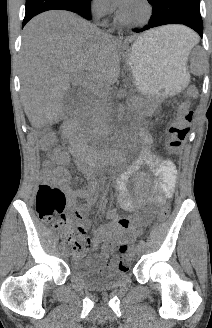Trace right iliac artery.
Here are the masks:
<instances>
[{
    "label": "right iliac artery",
    "mask_w": 212,
    "mask_h": 328,
    "mask_svg": "<svg viewBox=\"0 0 212 328\" xmlns=\"http://www.w3.org/2000/svg\"><path fill=\"white\" fill-rule=\"evenodd\" d=\"M60 247H61V249H64L65 248L64 244H62Z\"/></svg>",
    "instance_id": "1"
}]
</instances>
